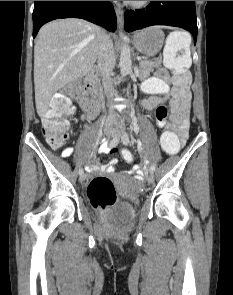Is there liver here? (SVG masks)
<instances>
[{
    "label": "liver",
    "instance_id": "1",
    "mask_svg": "<svg viewBox=\"0 0 233 295\" xmlns=\"http://www.w3.org/2000/svg\"><path fill=\"white\" fill-rule=\"evenodd\" d=\"M101 34L99 27L78 18L55 20L42 26L34 46L35 103L41 118L58 90L86 76L93 68Z\"/></svg>",
    "mask_w": 233,
    "mask_h": 295
}]
</instances>
